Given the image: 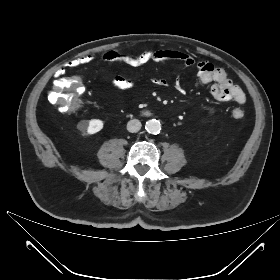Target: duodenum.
Segmentation results:
<instances>
[{
	"label": "duodenum",
	"instance_id": "obj_1",
	"mask_svg": "<svg viewBox=\"0 0 280 280\" xmlns=\"http://www.w3.org/2000/svg\"><path fill=\"white\" fill-rule=\"evenodd\" d=\"M145 115H148L149 114V111H144L143 112Z\"/></svg>",
	"mask_w": 280,
	"mask_h": 280
}]
</instances>
